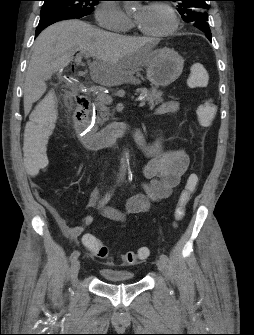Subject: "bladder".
Here are the masks:
<instances>
[{"mask_svg": "<svg viewBox=\"0 0 254 335\" xmlns=\"http://www.w3.org/2000/svg\"><path fill=\"white\" fill-rule=\"evenodd\" d=\"M100 274L106 282L124 283L134 281V273L128 270L117 268H101Z\"/></svg>", "mask_w": 254, "mask_h": 335, "instance_id": "31cf9c89", "label": "bladder"}]
</instances>
